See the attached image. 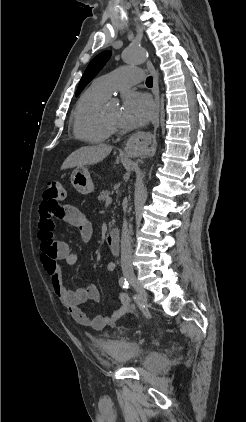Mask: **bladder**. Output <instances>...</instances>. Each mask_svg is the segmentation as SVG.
I'll return each mask as SVG.
<instances>
[{
    "label": "bladder",
    "instance_id": "31cf9c89",
    "mask_svg": "<svg viewBox=\"0 0 246 422\" xmlns=\"http://www.w3.org/2000/svg\"><path fill=\"white\" fill-rule=\"evenodd\" d=\"M99 352L106 358L118 363H130L138 361L142 355L139 342L123 338H106L99 341ZM151 362L156 366L165 363V357L160 351L151 353Z\"/></svg>",
    "mask_w": 246,
    "mask_h": 422
}]
</instances>
